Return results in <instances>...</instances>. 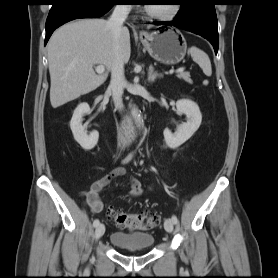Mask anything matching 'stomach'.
Wrapping results in <instances>:
<instances>
[{
	"instance_id": "stomach-1",
	"label": "stomach",
	"mask_w": 278,
	"mask_h": 278,
	"mask_svg": "<svg viewBox=\"0 0 278 278\" xmlns=\"http://www.w3.org/2000/svg\"><path fill=\"white\" fill-rule=\"evenodd\" d=\"M139 38L152 58L167 65L179 63L187 51L184 36L174 29L155 31Z\"/></svg>"
}]
</instances>
